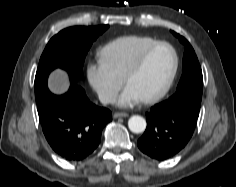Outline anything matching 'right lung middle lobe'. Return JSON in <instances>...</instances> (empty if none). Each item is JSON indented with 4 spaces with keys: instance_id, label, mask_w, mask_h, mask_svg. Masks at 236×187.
I'll list each match as a JSON object with an SVG mask.
<instances>
[{
    "instance_id": "right-lung-middle-lobe-1",
    "label": "right lung middle lobe",
    "mask_w": 236,
    "mask_h": 187,
    "mask_svg": "<svg viewBox=\"0 0 236 187\" xmlns=\"http://www.w3.org/2000/svg\"><path fill=\"white\" fill-rule=\"evenodd\" d=\"M108 27L109 25L70 27L53 36L39 61L34 84L35 97L47 88L48 76L56 68L66 70L71 81L81 78L89 48Z\"/></svg>"
}]
</instances>
